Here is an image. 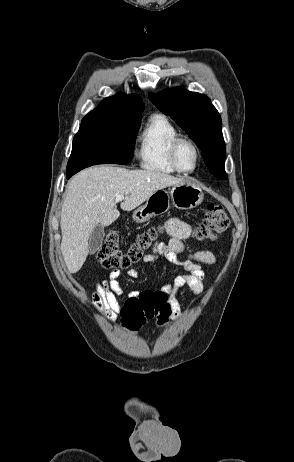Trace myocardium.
Masks as SVG:
<instances>
[{"label":"myocardium","mask_w":294,"mask_h":462,"mask_svg":"<svg viewBox=\"0 0 294 462\" xmlns=\"http://www.w3.org/2000/svg\"><path fill=\"white\" fill-rule=\"evenodd\" d=\"M183 143L189 144L195 152V164L193 168L189 170L183 169L178 162V149ZM200 157H201V153H200V149L198 145L196 144L195 141H193L192 139L188 137L178 136L171 143V146L169 149V159L174 169L178 172L185 173V174L194 172L199 166Z\"/></svg>","instance_id":"myocardium-1"}]
</instances>
